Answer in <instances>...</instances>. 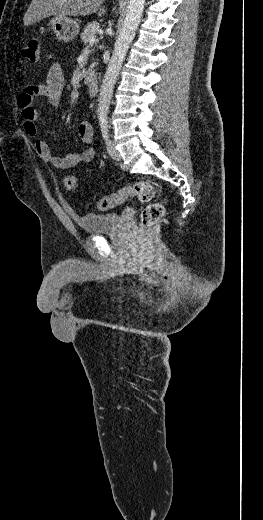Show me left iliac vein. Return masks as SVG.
Here are the masks:
<instances>
[{
  "label": "left iliac vein",
  "mask_w": 263,
  "mask_h": 520,
  "mask_svg": "<svg viewBox=\"0 0 263 520\" xmlns=\"http://www.w3.org/2000/svg\"><path fill=\"white\" fill-rule=\"evenodd\" d=\"M106 145H107V151H108L109 156L114 160H117V161L121 160V155L116 150L113 142L111 140H107Z\"/></svg>",
  "instance_id": "left-iliac-vein-1"
}]
</instances>
